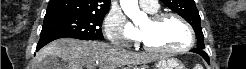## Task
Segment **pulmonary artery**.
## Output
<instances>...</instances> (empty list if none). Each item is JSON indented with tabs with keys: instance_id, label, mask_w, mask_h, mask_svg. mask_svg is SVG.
<instances>
[{
	"instance_id": "obj_1",
	"label": "pulmonary artery",
	"mask_w": 246,
	"mask_h": 69,
	"mask_svg": "<svg viewBox=\"0 0 246 69\" xmlns=\"http://www.w3.org/2000/svg\"><path fill=\"white\" fill-rule=\"evenodd\" d=\"M140 5L145 11L149 13H155L159 8L158 2L156 0H143L140 1Z\"/></svg>"
}]
</instances>
